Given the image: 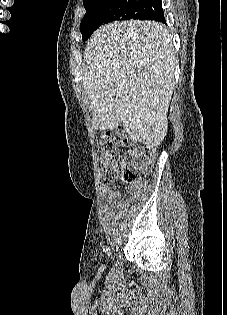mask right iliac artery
Here are the masks:
<instances>
[{"mask_svg":"<svg viewBox=\"0 0 227 315\" xmlns=\"http://www.w3.org/2000/svg\"><path fill=\"white\" fill-rule=\"evenodd\" d=\"M113 236H114V237H117V236H118V229H114V230H113Z\"/></svg>","mask_w":227,"mask_h":315,"instance_id":"right-iliac-artery-1","label":"right iliac artery"}]
</instances>
